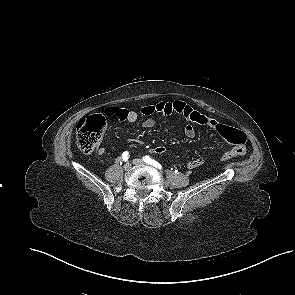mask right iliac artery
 <instances>
[{"mask_svg": "<svg viewBox=\"0 0 295 295\" xmlns=\"http://www.w3.org/2000/svg\"><path fill=\"white\" fill-rule=\"evenodd\" d=\"M128 158H129V152L125 151V152H123V154H122V158H118V159H116V162L122 164V160H123V161H127Z\"/></svg>", "mask_w": 295, "mask_h": 295, "instance_id": "right-iliac-artery-1", "label": "right iliac artery"}]
</instances>
